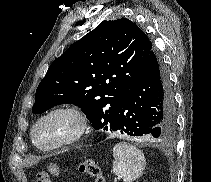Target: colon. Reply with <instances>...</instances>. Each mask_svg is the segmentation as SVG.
Masks as SVG:
<instances>
[{"label":"colon","instance_id":"1","mask_svg":"<svg viewBox=\"0 0 211 182\" xmlns=\"http://www.w3.org/2000/svg\"><path fill=\"white\" fill-rule=\"evenodd\" d=\"M78 171L95 178V182H106L97 162L86 160L79 164ZM59 169L56 165H50L47 171L37 174L36 182H51L50 176H58Z\"/></svg>","mask_w":211,"mask_h":182}]
</instances>
